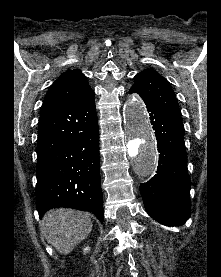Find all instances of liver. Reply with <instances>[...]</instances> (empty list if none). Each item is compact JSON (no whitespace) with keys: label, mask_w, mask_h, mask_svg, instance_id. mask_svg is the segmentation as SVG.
<instances>
[{"label":"liver","mask_w":221,"mask_h":277,"mask_svg":"<svg viewBox=\"0 0 221 277\" xmlns=\"http://www.w3.org/2000/svg\"><path fill=\"white\" fill-rule=\"evenodd\" d=\"M90 214L66 208L48 211L40 224L41 234L61 254H69L92 230Z\"/></svg>","instance_id":"6515ba94"}]
</instances>
